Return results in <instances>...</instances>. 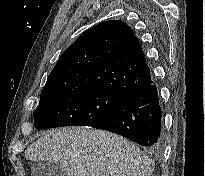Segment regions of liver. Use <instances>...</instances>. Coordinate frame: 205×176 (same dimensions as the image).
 Returning <instances> with one entry per match:
<instances>
[{
	"mask_svg": "<svg viewBox=\"0 0 205 176\" xmlns=\"http://www.w3.org/2000/svg\"><path fill=\"white\" fill-rule=\"evenodd\" d=\"M28 160L60 163L66 176H152L154 163L126 138L103 130H51L25 150Z\"/></svg>",
	"mask_w": 205,
	"mask_h": 176,
	"instance_id": "liver-1",
	"label": "liver"
}]
</instances>
